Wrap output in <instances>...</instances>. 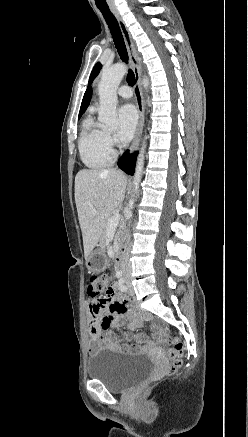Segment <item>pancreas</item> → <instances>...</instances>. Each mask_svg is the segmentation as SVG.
<instances>
[{
  "label": "pancreas",
  "mask_w": 248,
  "mask_h": 437,
  "mask_svg": "<svg viewBox=\"0 0 248 437\" xmlns=\"http://www.w3.org/2000/svg\"><path fill=\"white\" fill-rule=\"evenodd\" d=\"M109 220V219H108ZM108 220H107V222H106V224H105V227H104V232H103V235H102V241L103 242H105V238H106V232H107V226H108ZM123 228V226H119V228H118V230H117V232H118V235L121 233V229Z\"/></svg>",
  "instance_id": "pancreas-1"
}]
</instances>
